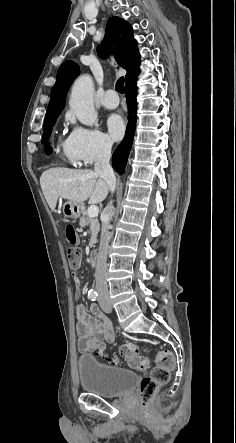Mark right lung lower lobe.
Returning a JSON list of instances; mask_svg holds the SVG:
<instances>
[{
  "label": "right lung lower lobe",
  "mask_w": 236,
  "mask_h": 443,
  "mask_svg": "<svg viewBox=\"0 0 236 443\" xmlns=\"http://www.w3.org/2000/svg\"><path fill=\"white\" fill-rule=\"evenodd\" d=\"M139 70L129 75L125 81V94L128 104V124L126 128V134L123 141L118 145L112 156L113 168L120 174L124 173L125 165L127 163L128 155L133 143L135 128H136V114H137V102H136V81ZM51 149H48L49 153Z\"/></svg>",
  "instance_id": "right-lung-lower-lobe-1"
}]
</instances>
